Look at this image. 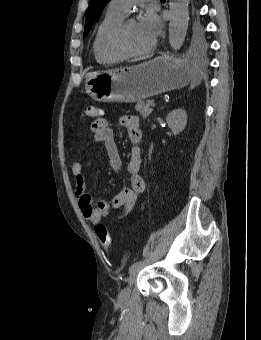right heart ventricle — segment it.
<instances>
[{"mask_svg":"<svg viewBox=\"0 0 261 340\" xmlns=\"http://www.w3.org/2000/svg\"><path fill=\"white\" fill-rule=\"evenodd\" d=\"M123 14L112 10L110 7L99 22L93 43L92 50L96 61L102 65L113 64L123 59L114 53L109 47V38L113 29L125 18Z\"/></svg>","mask_w":261,"mask_h":340,"instance_id":"obj_1","label":"right heart ventricle"}]
</instances>
